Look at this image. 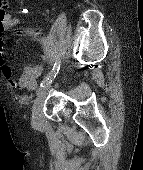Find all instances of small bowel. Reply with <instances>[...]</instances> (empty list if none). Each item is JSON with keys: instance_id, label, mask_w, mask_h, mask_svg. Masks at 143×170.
<instances>
[{"instance_id": "1", "label": "small bowel", "mask_w": 143, "mask_h": 170, "mask_svg": "<svg viewBox=\"0 0 143 170\" xmlns=\"http://www.w3.org/2000/svg\"><path fill=\"white\" fill-rule=\"evenodd\" d=\"M23 23L24 20L22 18L14 17L11 14H6L3 17H0V70L13 88L17 90H32L36 87L38 79L42 74L43 65L41 63L27 64L20 77L15 79L13 70L3 56L2 49V44L6 39V31L9 28L20 26ZM17 34L20 36L38 37L42 34V32L36 27H28L20 29Z\"/></svg>"}]
</instances>
